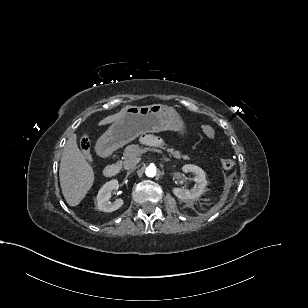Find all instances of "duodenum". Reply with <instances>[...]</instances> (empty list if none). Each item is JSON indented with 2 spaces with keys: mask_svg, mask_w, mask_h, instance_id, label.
Returning a JSON list of instances; mask_svg holds the SVG:
<instances>
[{
  "mask_svg": "<svg viewBox=\"0 0 308 308\" xmlns=\"http://www.w3.org/2000/svg\"><path fill=\"white\" fill-rule=\"evenodd\" d=\"M112 148L108 144H103L99 147V154L103 157H108L112 154ZM120 172V165L117 162H113L106 166L104 169V175L108 178L117 176Z\"/></svg>",
  "mask_w": 308,
  "mask_h": 308,
  "instance_id": "410a0bca",
  "label": "duodenum"
}]
</instances>
